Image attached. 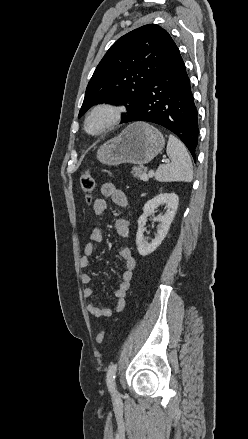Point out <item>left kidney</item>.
I'll use <instances>...</instances> for the list:
<instances>
[{
    "label": "left kidney",
    "instance_id": "1",
    "mask_svg": "<svg viewBox=\"0 0 248 439\" xmlns=\"http://www.w3.org/2000/svg\"><path fill=\"white\" fill-rule=\"evenodd\" d=\"M164 204H166L165 214L154 218V221L159 222L158 232L152 242L148 243L143 235L147 217L152 215L158 206ZM178 204L179 198L175 193H161L146 202L143 208L144 213L138 219V230L136 234V245L140 255L147 256L151 254L161 244L175 217Z\"/></svg>",
    "mask_w": 248,
    "mask_h": 439
}]
</instances>
